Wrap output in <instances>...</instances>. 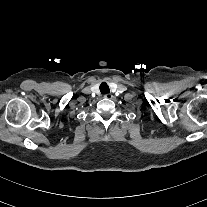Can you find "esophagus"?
I'll list each match as a JSON object with an SVG mask.
<instances>
[{"label":"esophagus","mask_w":207,"mask_h":207,"mask_svg":"<svg viewBox=\"0 0 207 207\" xmlns=\"http://www.w3.org/2000/svg\"><path fill=\"white\" fill-rule=\"evenodd\" d=\"M105 99H112L113 95L111 93H106L103 95Z\"/></svg>","instance_id":"1"}]
</instances>
